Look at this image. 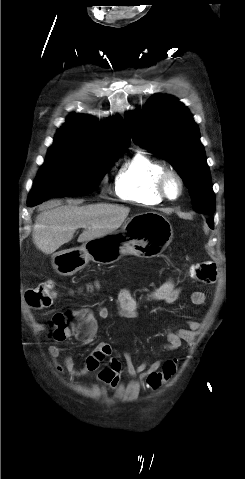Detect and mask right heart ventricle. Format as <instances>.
I'll use <instances>...</instances> for the list:
<instances>
[{"label": "right heart ventricle", "mask_w": 245, "mask_h": 479, "mask_svg": "<svg viewBox=\"0 0 245 479\" xmlns=\"http://www.w3.org/2000/svg\"><path fill=\"white\" fill-rule=\"evenodd\" d=\"M165 165L144 152H135L119 169L115 178V193L123 200L143 205L163 201L157 189V180L166 170Z\"/></svg>", "instance_id": "right-heart-ventricle-1"}]
</instances>
